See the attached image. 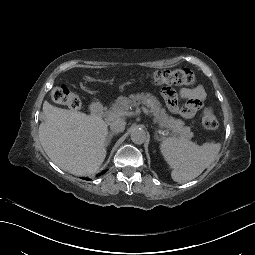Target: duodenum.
Segmentation results:
<instances>
[{"mask_svg": "<svg viewBox=\"0 0 255 255\" xmlns=\"http://www.w3.org/2000/svg\"><path fill=\"white\" fill-rule=\"evenodd\" d=\"M89 110H90V115L93 118H100V117H102V115L104 113L103 105L101 104V102L99 100H94L90 104Z\"/></svg>", "mask_w": 255, "mask_h": 255, "instance_id": "duodenum-1", "label": "duodenum"}]
</instances>
